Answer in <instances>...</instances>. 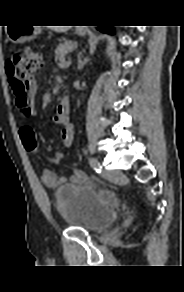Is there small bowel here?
I'll return each instance as SVG.
<instances>
[{
    "instance_id": "obj_1",
    "label": "small bowel",
    "mask_w": 184,
    "mask_h": 292,
    "mask_svg": "<svg viewBox=\"0 0 184 292\" xmlns=\"http://www.w3.org/2000/svg\"><path fill=\"white\" fill-rule=\"evenodd\" d=\"M31 86L34 89H36L37 82L35 80H32ZM12 89H13V93H14L15 98H16V105H17L18 112L24 121L20 130H19V134H21V131L23 128L31 127L27 122L30 118L27 117V115H25V113L22 111V109L20 107V103H19L18 94L16 93V91L13 87H12ZM54 122L56 124H61L64 126V128L62 130V142H63L65 147H68V148L71 147L74 143V138H75V129H74L73 125L68 122L66 117L62 118V117H59L58 115L55 116ZM40 179H41V182L47 188H51V189L57 188L58 186L65 183L66 181H69V182L74 183V184H83V183H86L88 181L87 175L83 171L78 170V169L73 170L71 175L68 178L59 177L55 172H53L51 170H44V171H42V173L40 175Z\"/></svg>"
}]
</instances>
